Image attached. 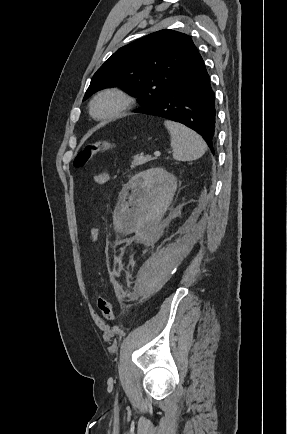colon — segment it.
I'll use <instances>...</instances> for the list:
<instances>
[{
	"instance_id": "colon-1",
	"label": "colon",
	"mask_w": 287,
	"mask_h": 434,
	"mask_svg": "<svg viewBox=\"0 0 287 434\" xmlns=\"http://www.w3.org/2000/svg\"><path fill=\"white\" fill-rule=\"evenodd\" d=\"M114 146L115 144L111 141H98L90 143L78 152V154L75 156L74 164L77 167L85 166L93 157L113 149ZM97 307L104 319L107 321L114 319L115 311L111 300L106 297H99L97 300Z\"/></svg>"
}]
</instances>
